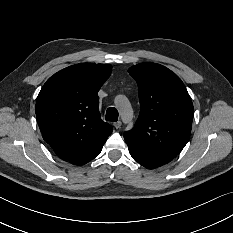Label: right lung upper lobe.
I'll use <instances>...</instances> for the list:
<instances>
[{
  "instance_id": "obj_1",
  "label": "right lung upper lobe",
  "mask_w": 233,
  "mask_h": 233,
  "mask_svg": "<svg viewBox=\"0 0 233 233\" xmlns=\"http://www.w3.org/2000/svg\"><path fill=\"white\" fill-rule=\"evenodd\" d=\"M111 65L81 63L50 77L36 101L44 140L57 156L81 166L99 155L112 126L100 118L98 91Z\"/></svg>"
}]
</instances>
